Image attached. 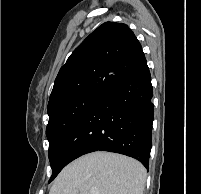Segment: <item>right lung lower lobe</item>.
<instances>
[{"label": "right lung lower lobe", "mask_w": 201, "mask_h": 194, "mask_svg": "<svg viewBox=\"0 0 201 194\" xmlns=\"http://www.w3.org/2000/svg\"><path fill=\"white\" fill-rule=\"evenodd\" d=\"M151 75L144 60L119 80L66 132L53 153L61 169L94 151L124 154L148 168L152 145L154 106Z\"/></svg>", "instance_id": "right-lung-lower-lobe-1"}]
</instances>
